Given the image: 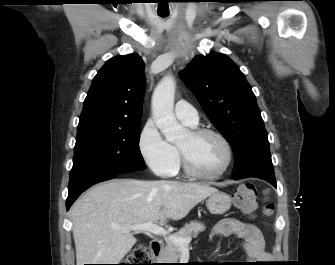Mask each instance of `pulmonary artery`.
I'll use <instances>...</instances> for the list:
<instances>
[{
	"label": "pulmonary artery",
	"instance_id": "obj_1",
	"mask_svg": "<svg viewBox=\"0 0 335 265\" xmlns=\"http://www.w3.org/2000/svg\"><path fill=\"white\" fill-rule=\"evenodd\" d=\"M175 115L179 120L191 127H195L199 123L197 110L184 100H180L176 103Z\"/></svg>",
	"mask_w": 335,
	"mask_h": 265
}]
</instances>
